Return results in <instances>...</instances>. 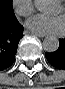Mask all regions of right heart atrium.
I'll return each mask as SVG.
<instances>
[{"label":"right heart atrium","mask_w":65,"mask_h":89,"mask_svg":"<svg viewBox=\"0 0 65 89\" xmlns=\"http://www.w3.org/2000/svg\"><path fill=\"white\" fill-rule=\"evenodd\" d=\"M13 7L18 15L25 17L33 12L34 3L32 0H14Z\"/></svg>","instance_id":"obj_1"}]
</instances>
